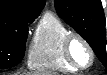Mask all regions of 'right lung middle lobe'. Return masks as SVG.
Wrapping results in <instances>:
<instances>
[{"label":"right lung middle lobe","instance_id":"right-lung-middle-lobe-1","mask_svg":"<svg viewBox=\"0 0 107 75\" xmlns=\"http://www.w3.org/2000/svg\"><path fill=\"white\" fill-rule=\"evenodd\" d=\"M28 23H13L0 31V68L19 64L24 56Z\"/></svg>","mask_w":107,"mask_h":75}]
</instances>
